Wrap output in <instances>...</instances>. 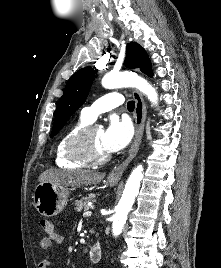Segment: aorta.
<instances>
[{"label": "aorta", "mask_w": 221, "mask_h": 268, "mask_svg": "<svg viewBox=\"0 0 221 268\" xmlns=\"http://www.w3.org/2000/svg\"><path fill=\"white\" fill-rule=\"evenodd\" d=\"M102 86L106 89L120 87H135L146 94L153 105L158 103V94L155 89L142 77L129 72L109 73L102 79ZM143 178V167H135L125 185L122 197L116 207L113 216L112 233L117 236L122 232L126 223L127 215L131 210L135 197L138 194L141 180Z\"/></svg>", "instance_id": "obj_1"}]
</instances>
